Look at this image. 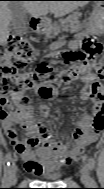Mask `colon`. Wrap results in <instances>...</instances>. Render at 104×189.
<instances>
[{
	"instance_id": "1",
	"label": "colon",
	"mask_w": 104,
	"mask_h": 189,
	"mask_svg": "<svg viewBox=\"0 0 104 189\" xmlns=\"http://www.w3.org/2000/svg\"><path fill=\"white\" fill-rule=\"evenodd\" d=\"M102 44L93 37H87L82 43V51L69 52L64 55L68 65L54 74L49 63H41L36 72L25 71V68L35 59V50L31 42L25 37L11 35L1 47L2 63L0 66V92L3 98L20 97L24 93L34 90L42 98L54 96V86L58 83L70 82L87 72L94 71L101 75L102 63L98 56L102 51ZM26 102V99L22 100ZM35 128L46 134L43 124H35Z\"/></svg>"
}]
</instances>
